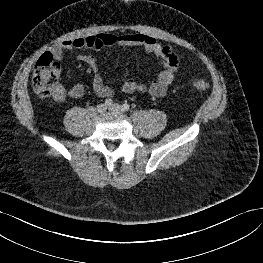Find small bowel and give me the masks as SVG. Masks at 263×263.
I'll list each match as a JSON object with an SVG mask.
<instances>
[{
    "instance_id": "c3829d8e",
    "label": "small bowel",
    "mask_w": 263,
    "mask_h": 263,
    "mask_svg": "<svg viewBox=\"0 0 263 263\" xmlns=\"http://www.w3.org/2000/svg\"><path fill=\"white\" fill-rule=\"evenodd\" d=\"M138 47L157 57L162 65V70L157 77L149 83H139L132 79L125 80L121 85V90L125 93L140 92L154 97H163L179 69V58L173 50L158 42L154 37L142 33H125L113 35L110 33H99L97 35L79 37L57 43L50 48V54L56 60H63L66 52L74 49L99 50L109 46ZM80 60L86 63L93 72L92 86L95 93L103 98L111 97L113 89L105 84L103 77L98 72L96 58L91 54H83ZM85 92L83 84H76L69 89L59 85L52 95L57 102H63L67 98H80Z\"/></svg>"
}]
</instances>
